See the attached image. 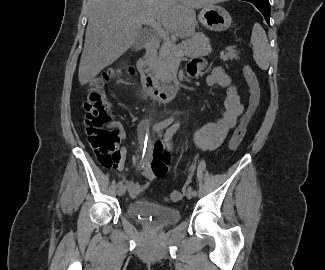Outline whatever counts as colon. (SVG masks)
I'll return each instance as SVG.
<instances>
[{
  "mask_svg": "<svg viewBox=\"0 0 325 270\" xmlns=\"http://www.w3.org/2000/svg\"><path fill=\"white\" fill-rule=\"evenodd\" d=\"M126 72L129 75L134 74L132 68H129ZM243 73L249 86V105L230 139V150H235L243 140L247 125L260 103L261 90L256 74L249 65H244ZM119 74H121L120 69L110 68L94 78L89 83L83 104L85 111L84 124L88 142L94 150L99 163L105 168H116L120 159L118 150L119 134L112 121L111 104L106 93L107 85ZM182 197V193L178 190L172 191L169 195V199L173 202L180 201Z\"/></svg>",
  "mask_w": 325,
  "mask_h": 270,
  "instance_id": "obj_1",
  "label": "colon"
}]
</instances>
